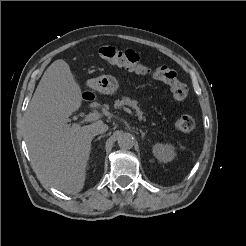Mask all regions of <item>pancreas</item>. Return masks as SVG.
<instances>
[{
    "instance_id": "pancreas-1",
    "label": "pancreas",
    "mask_w": 246,
    "mask_h": 246,
    "mask_svg": "<svg viewBox=\"0 0 246 246\" xmlns=\"http://www.w3.org/2000/svg\"><path fill=\"white\" fill-rule=\"evenodd\" d=\"M125 105H128V106L132 107L133 109H135L140 120L144 119L143 112L140 109L137 101L131 100L130 98L125 97L122 100H116L114 102V108L115 109H119V108H121V107H123ZM140 116H142V117H140Z\"/></svg>"
}]
</instances>
